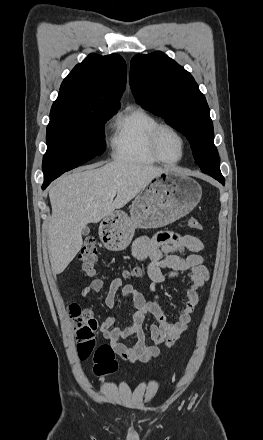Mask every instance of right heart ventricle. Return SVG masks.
Here are the masks:
<instances>
[{"label": "right heart ventricle", "mask_w": 263, "mask_h": 440, "mask_svg": "<svg viewBox=\"0 0 263 440\" xmlns=\"http://www.w3.org/2000/svg\"><path fill=\"white\" fill-rule=\"evenodd\" d=\"M157 124L158 119L145 109L126 108L114 123L110 141L112 157L120 162L158 163L149 149V136Z\"/></svg>", "instance_id": "e07e8e85"}]
</instances>
